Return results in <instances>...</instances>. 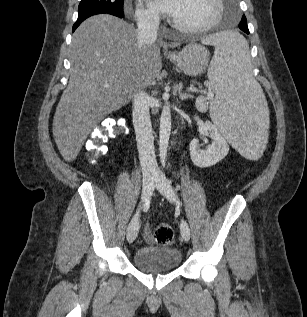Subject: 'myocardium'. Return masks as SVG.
Listing matches in <instances>:
<instances>
[{
	"label": "myocardium",
	"mask_w": 307,
	"mask_h": 317,
	"mask_svg": "<svg viewBox=\"0 0 307 317\" xmlns=\"http://www.w3.org/2000/svg\"><path fill=\"white\" fill-rule=\"evenodd\" d=\"M215 4H216L215 16L207 24L196 26V27H188L176 22L174 19L171 20V24L174 28H176L180 32L187 33V34H202V33L208 32L220 22L224 13L223 0H215Z\"/></svg>",
	"instance_id": "myocardium-1"
}]
</instances>
